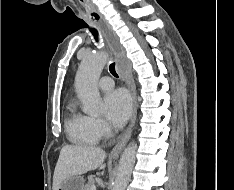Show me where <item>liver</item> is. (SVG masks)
<instances>
[{
    "label": "liver",
    "instance_id": "1",
    "mask_svg": "<svg viewBox=\"0 0 234 190\" xmlns=\"http://www.w3.org/2000/svg\"><path fill=\"white\" fill-rule=\"evenodd\" d=\"M105 152L93 146L65 145L54 170L52 189L58 190L62 182L73 175H82L95 169H104Z\"/></svg>",
    "mask_w": 234,
    "mask_h": 190
}]
</instances>
